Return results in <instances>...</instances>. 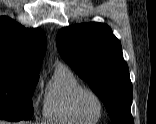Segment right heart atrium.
Returning a JSON list of instances; mask_svg holds the SVG:
<instances>
[{
	"mask_svg": "<svg viewBox=\"0 0 156 124\" xmlns=\"http://www.w3.org/2000/svg\"><path fill=\"white\" fill-rule=\"evenodd\" d=\"M36 93V88H34L32 95L34 96Z\"/></svg>",
	"mask_w": 156,
	"mask_h": 124,
	"instance_id": "d8ad5b80",
	"label": "right heart atrium"
}]
</instances>
